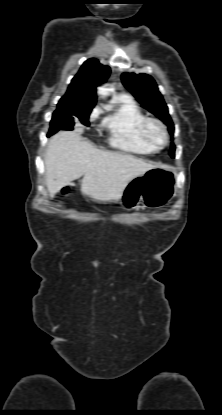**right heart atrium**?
I'll use <instances>...</instances> for the list:
<instances>
[{
	"instance_id": "right-heart-atrium-1",
	"label": "right heart atrium",
	"mask_w": 222,
	"mask_h": 415,
	"mask_svg": "<svg viewBox=\"0 0 222 415\" xmlns=\"http://www.w3.org/2000/svg\"><path fill=\"white\" fill-rule=\"evenodd\" d=\"M99 109H94L91 113H90V115H89V120L91 121V122H94L97 118H98V116H99Z\"/></svg>"
}]
</instances>
